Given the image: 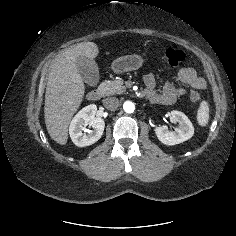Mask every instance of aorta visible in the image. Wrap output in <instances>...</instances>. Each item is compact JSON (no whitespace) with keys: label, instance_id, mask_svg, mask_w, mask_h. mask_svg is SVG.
<instances>
[{"label":"aorta","instance_id":"aorta-1","mask_svg":"<svg viewBox=\"0 0 236 236\" xmlns=\"http://www.w3.org/2000/svg\"><path fill=\"white\" fill-rule=\"evenodd\" d=\"M123 109L126 113H133L135 110V105L131 101H125L123 104Z\"/></svg>","mask_w":236,"mask_h":236}]
</instances>
